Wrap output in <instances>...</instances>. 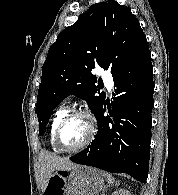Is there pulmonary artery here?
<instances>
[{"mask_svg": "<svg viewBox=\"0 0 178 195\" xmlns=\"http://www.w3.org/2000/svg\"><path fill=\"white\" fill-rule=\"evenodd\" d=\"M104 84L110 89L113 85V79L109 73L105 72L103 75ZM70 101V99H68Z\"/></svg>", "mask_w": 178, "mask_h": 195, "instance_id": "e3ab8cb5", "label": "pulmonary artery"}]
</instances>
